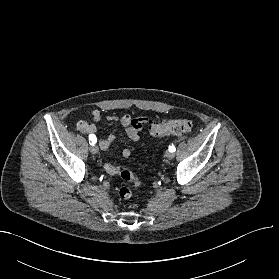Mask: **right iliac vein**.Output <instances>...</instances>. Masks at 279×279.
<instances>
[{
  "mask_svg": "<svg viewBox=\"0 0 279 279\" xmlns=\"http://www.w3.org/2000/svg\"><path fill=\"white\" fill-rule=\"evenodd\" d=\"M90 152L92 153V154H97L98 152H99V149H98V146L97 145H91L90 146Z\"/></svg>",
  "mask_w": 279,
  "mask_h": 279,
  "instance_id": "63e3f726",
  "label": "right iliac vein"
}]
</instances>
